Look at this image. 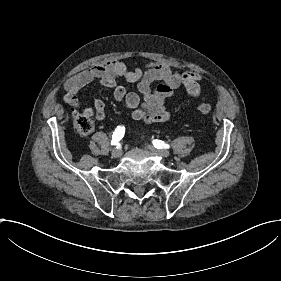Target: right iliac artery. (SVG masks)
<instances>
[{
    "label": "right iliac artery",
    "instance_id": "right-iliac-artery-1",
    "mask_svg": "<svg viewBox=\"0 0 281 281\" xmlns=\"http://www.w3.org/2000/svg\"><path fill=\"white\" fill-rule=\"evenodd\" d=\"M125 134V127L124 126H117L115 131L112 135L111 145H116L118 142L123 138Z\"/></svg>",
    "mask_w": 281,
    "mask_h": 281
}]
</instances>
